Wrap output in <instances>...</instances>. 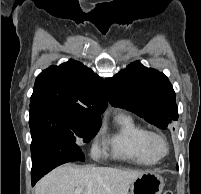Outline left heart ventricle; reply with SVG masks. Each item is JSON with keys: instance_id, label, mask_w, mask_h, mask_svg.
<instances>
[{"instance_id": "1", "label": "left heart ventricle", "mask_w": 201, "mask_h": 194, "mask_svg": "<svg viewBox=\"0 0 201 194\" xmlns=\"http://www.w3.org/2000/svg\"><path fill=\"white\" fill-rule=\"evenodd\" d=\"M153 151H154L156 154H163V153H164V151H165V146H164V144L162 143V141L156 140V141L153 143Z\"/></svg>"}]
</instances>
